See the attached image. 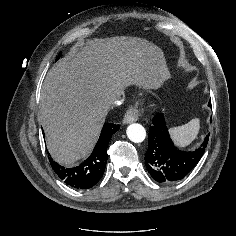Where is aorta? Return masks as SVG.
I'll return each mask as SVG.
<instances>
[{"label": "aorta", "instance_id": "obj_1", "mask_svg": "<svg viewBox=\"0 0 236 236\" xmlns=\"http://www.w3.org/2000/svg\"><path fill=\"white\" fill-rule=\"evenodd\" d=\"M127 137L135 143L143 142L146 137L145 128L138 123H133L127 127Z\"/></svg>", "mask_w": 236, "mask_h": 236}]
</instances>
